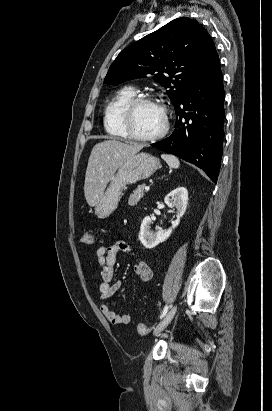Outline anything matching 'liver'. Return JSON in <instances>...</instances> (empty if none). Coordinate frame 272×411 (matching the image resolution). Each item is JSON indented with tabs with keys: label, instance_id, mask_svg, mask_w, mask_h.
I'll return each instance as SVG.
<instances>
[{
	"label": "liver",
	"instance_id": "liver-1",
	"mask_svg": "<svg viewBox=\"0 0 272 411\" xmlns=\"http://www.w3.org/2000/svg\"><path fill=\"white\" fill-rule=\"evenodd\" d=\"M143 148V144H126L117 140H105L93 147L84 184V194L89 206H96L99 203L119 166Z\"/></svg>",
	"mask_w": 272,
	"mask_h": 411
}]
</instances>
